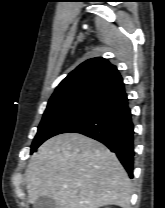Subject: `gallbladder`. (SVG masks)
Instances as JSON below:
<instances>
[{
	"instance_id": "1",
	"label": "gallbladder",
	"mask_w": 165,
	"mask_h": 208,
	"mask_svg": "<svg viewBox=\"0 0 165 208\" xmlns=\"http://www.w3.org/2000/svg\"><path fill=\"white\" fill-rule=\"evenodd\" d=\"M34 208H58L54 199L50 197H39L33 204Z\"/></svg>"
}]
</instances>
